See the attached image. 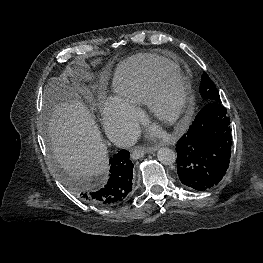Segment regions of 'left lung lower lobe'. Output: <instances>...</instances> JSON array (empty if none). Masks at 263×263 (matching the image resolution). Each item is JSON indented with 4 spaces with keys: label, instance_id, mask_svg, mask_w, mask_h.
Returning <instances> with one entry per match:
<instances>
[{
    "label": "left lung lower lobe",
    "instance_id": "0a47b994",
    "mask_svg": "<svg viewBox=\"0 0 263 263\" xmlns=\"http://www.w3.org/2000/svg\"><path fill=\"white\" fill-rule=\"evenodd\" d=\"M230 117L219 102H210L196 115L177 141V173L180 181L197 191L217 185L231 156Z\"/></svg>",
    "mask_w": 263,
    "mask_h": 263
}]
</instances>
